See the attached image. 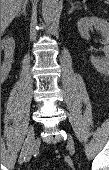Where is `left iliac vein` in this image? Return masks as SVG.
<instances>
[{
  "label": "left iliac vein",
  "instance_id": "obj_1",
  "mask_svg": "<svg viewBox=\"0 0 109 170\" xmlns=\"http://www.w3.org/2000/svg\"><path fill=\"white\" fill-rule=\"evenodd\" d=\"M67 146H68L70 154H74L75 145H74V141H73V139L71 137L67 138Z\"/></svg>",
  "mask_w": 109,
  "mask_h": 170
}]
</instances>
